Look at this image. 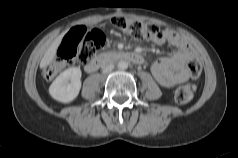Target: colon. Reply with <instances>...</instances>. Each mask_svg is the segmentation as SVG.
Wrapping results in <instances>:
<instances>
[{
    "label": "colon",
    "instance_id": "obj_1",
    "mask_svg": "<svg viewBox=\"0 0 238 158\" xmlns=\"http://www.w3.org/2000/svg\"><path fill=\"white\" fill-rule=\"evenodd\" d=\"M113 25L125 35L138 40H154L160 37L163 31L159 26L124 17H115ZM104 34L96 29L85 26L72 28L60 41L55 58L45 67L43 75L47 80L53 79L64 67L78 61L88 64L94 57L96 51L103 46ZM187 69L195 79L202 72V64L198 59H191L187 63ZM196 91L193 83L179 87L175 91V101L178 104H187L191 101Z\"/></svg>",
    "mask_w": 238,
    "mask_h": 158
}]
</instances>
